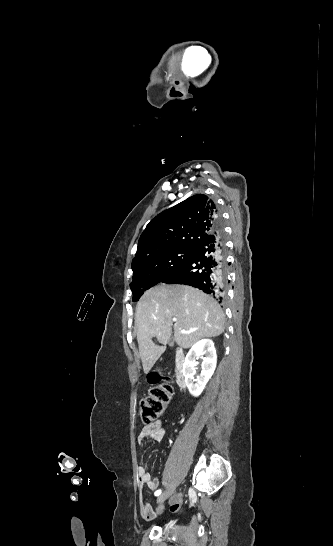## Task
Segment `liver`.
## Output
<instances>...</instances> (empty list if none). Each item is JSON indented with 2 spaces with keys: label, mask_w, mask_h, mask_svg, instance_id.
Listing matches in <instances>:
<instances>
[{
  "label": "liver",
  "mask_w": 333,
  "mask_h": 546,
  "mask_svg": "<svg viewBox=\"0 0 333 546\" xmlns=\"http://www.w3.org/2000/svg\"><path fill=\"white\" fill-rule=\"evenodd\" d=\"M137 341L144 373L150 372L166 349L174 329V341L190 348L200 339L224 332L225 315L220 305L202 291L187 285H159L146 291L136 306ZM173 319H176L173 325ZM185 330L188 333L182 334ZM156 337L162 346L153 343Z\"/></svg>",
  "instance_id": "obj_1"
}]
</instances>
